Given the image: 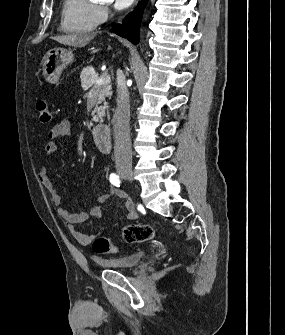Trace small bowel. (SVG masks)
Listing matches in <instances>:
<instances>
[{"mask_svg":"<svg viewBox=\"0 0 285 335\" xmlns=\"http://www.w3.org/2000/svg\"><path fill=\"white\" fill-rule=\"evenodd\" d=\"M72 133V126L68 120H61L56 123L49 131L47 135V143L45 145V152L47 155H52L57 150L55 140L60 137H69ZM103 174L108 177L110 172L108 168H104ZM110 177V176H109ZM38 178L44 188L50 195L51 201L58 207L57 213L61 219L67 223V227L72 236L84 246L90 245L95 238L92 234H85L76 228L77 224L87 221L90 217L101 218L102 208L101 205L108 201L111 197L117 196L124 200L125 205V218L128 220H135L138 216L134 202L128 197V195L120 190L110 188L108 192L100 195L97 198L96 205L91 207L88 211L73 213L69 209L63 207L62 199L51 180V171L48 167L43 166L38 172ZM104 229V228H103Z\"/></svg>","mask_w":285,"mask_h":335,"instance_id":"small-bowel-1","label":"small bowel"}]
</instances>
